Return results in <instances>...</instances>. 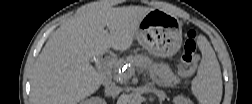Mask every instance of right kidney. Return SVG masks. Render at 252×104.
<instances>
[{"mask_svg":"<svg viewBox=\"0 0 252 104\" xmlns=\"http://www.w3.org/2000/svg\"><path fill=\"white\" fill-rule=\"evenodd\" d=\"M83 103L84 104H106V101L99 97H92V98L86 99Z\"/></svg>","mask_w":252,"mask_h":104,"instance_id":"1","label":"right kidney"}]
</instances>
